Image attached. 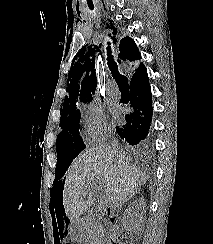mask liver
Segmentation results:
<instances>
[{"label":"liver","instance_id":"6515ba94","mask_svg":"<svg viewBox=\"0 0 213 244\" xmlns=\"http://www.w3.org/2000/svg\"><path fill=\"white\" fill-rule=\"evenodd\" d=\"M146 180V175L130 164L123 151L109 145L88 149L66 172L63 190L66 215L76 221L92 205V187L97 182L103 184L106 203L110 206L127 201Z\"/></svg>","mask_w":213,"mask_h":244}]
</instances>
